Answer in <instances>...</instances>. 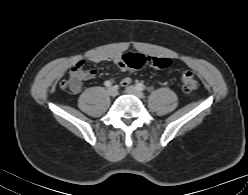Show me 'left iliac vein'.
I'll return each mask as SVG.
<instances>
[{
    "label": "left iliac vein",
    "instance_id": "obj_1",
    "mask_svg": "<svg viewBox=\"0 0 248 195\" xmlns=\"http://www.w3.org/2000/svg\"><path fill=\"white\" fill-rule=\"evenodd\" d=\"M126 92L128 94L136 96L137 98H140V99L144 98V93L138 90L135 86L126 87Z\"/></svg>",
    "mask_w": 248,
    "mask_h": 195
}]
</instances>
